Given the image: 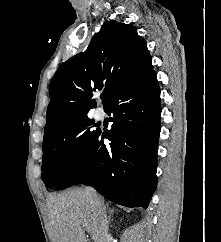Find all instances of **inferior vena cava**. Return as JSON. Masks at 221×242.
Instances as JSON below:
<instances>
[{"label":"inferior vena cava","instance_id":"602c4592","mask_svg":"<svg viewBox=\"0 0 221 242\" xmlns=\"http://www.w3.org/2000/svg\"><path fill=\"white\" fill-rule=\"evenodd\" d=\"M86 190L98 214V221H99L98 242H110L111 237L108 233V218L106 214V207L98 199V196L93 188L87 187Z\"/></svg>","mask_w":221,"mask_h":242}]
</instances>
